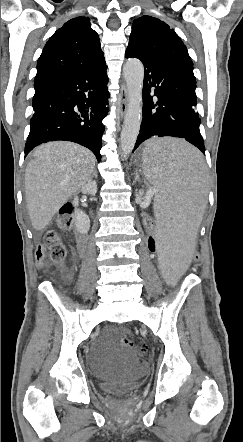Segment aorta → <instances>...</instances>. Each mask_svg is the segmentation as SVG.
I'll list each match as a JSON object with an SVG mask.
<instances>
[{
  "instance_id": "obj_1",
  "label": "aorta",
  "mask_w": 243,
  "mask_h": 442,
  "mask_svg": "<svg viewBox=\"0 0 243 442\" xmlns=\"http://www.w3.org/2000/svg\"><path fill=\"white\" fill-rule=\"evenodd\" d=\"M128 92V107L121 132V157L126 159L136 143L142 114V88L144 79L143 64L137 59H129L123 67Z\"/></svg>"
}]
</instances>
